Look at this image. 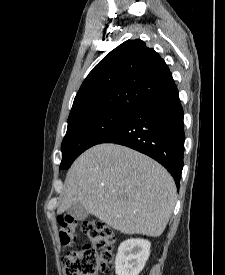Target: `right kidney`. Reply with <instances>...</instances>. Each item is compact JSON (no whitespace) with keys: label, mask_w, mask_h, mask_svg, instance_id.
I'll list each match as a JSON object with an SVG mask.
<instances>
[{"label":"right kidney","mask_w":225,"mask_h":275,"mask_svg":"<svg viewBox=\"0 0 225 275\" xmlns=\"http://www.w3.org/2000/svg\"><path fill=\"white\" fill-rule=\"evenodd\" d=\"M151 243L144 239L123 241L115 259L116 275H138L150 255Z\"/></svg>","instance_id":"ca27d5eb"}]
</instances>
